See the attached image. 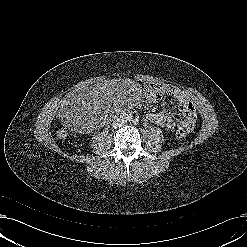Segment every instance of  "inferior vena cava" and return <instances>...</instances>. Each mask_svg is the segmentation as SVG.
Listing matches in <instances>:
<instances>
[{
	"mask_svg": "<svg viewBox=\"0 0 247 247\" xmlns=\"http://www.w3.org/2000/svg\"><path fill=\"white\" fill-rule=\"evenodd\" d=\"M127 121L124 118H118L116 121H114L113 125L115 127H121L123 126Z\"/></svg>",
	"mask_w": 247,
	"mask_h": 247,
	"instance_id": "inferior-vena-cava-1",
	"label": "inferior vena cava"
}]
</instances>
